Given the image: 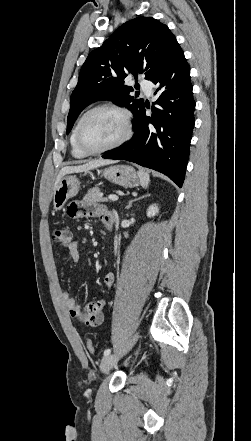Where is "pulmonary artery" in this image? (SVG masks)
<instances>
[{
  "mask_svg": "<svg viewBox=\"0 0 251 441\" xmlns=\"http://www.w3.org/2000/svg\"><path fill=\"white\" fill-rule=\"evenodd\" d=\"M140 86L142 88V90L148 95L150 96L152 94V90H153V84L148 81V80H141L140 81Z\"/></svg>",
  "mask_w": 251,
  "mask_h": 441,
  "instance_id": "1",
  "label": "pulmonary artery"
}]
</instances>
